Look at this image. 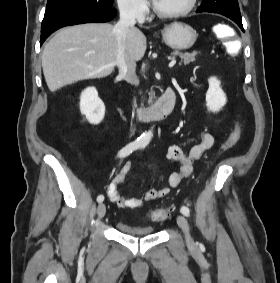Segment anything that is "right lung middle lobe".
<instances>
[{
    "label": "right lung middle lobe",
    "mask_w": 280,
    "mask_h": 283,
    "mask_svg": "<svg viewBox=\"0 0 280 283\" xmlns=\"http://www.w3.org/2000/svg\"><path fill=\"white\" fill-rule=\"evenodd\" d=\"M113 0H48L45 15L69 9L106 11Z\"/></svg>",
    "instance_id": "1"
}]
</instances>
